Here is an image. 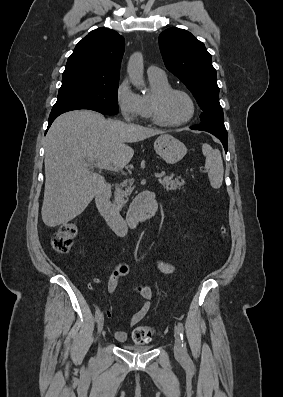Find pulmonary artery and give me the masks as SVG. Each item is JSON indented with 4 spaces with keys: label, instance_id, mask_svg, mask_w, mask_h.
<instances>
[{
    "label": "pulmonary artery",
    "instance_id": "1",
    "mask_svg": "<svg viewBox=\"0 0 283 397\" xmlns=\"http://www.w3.org/2000/svg\"><path fill=\"white\" fill-rule=\"evenodd\" d=\"M147 74L149 77H155V78H164L166 77L165 72L156 66H150L147 70Z\"/></svg>",
    "mask_w": 283,
    "mask_h": 397
}]
</instances>
